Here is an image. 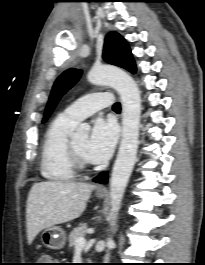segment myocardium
Returning a JSON list of instances; mask_svg holds the SVG:
<instances>
[{"mask_svg": "<svg viewBox=\"0 0 205 265\" xmlns=\"http://www.w3.org/2000/svg\"><path fill=\"white\" fill-rule=\"evenodd\" d=\"M69 152L74 168L78 170H85L88 167L87 160L76 149L73 140L69 141Z\"/></svg>", "mask_w": 205, "mask_h": 265, "instance_id": "f54148a6", "label": "myocardium"}]
</instances>
